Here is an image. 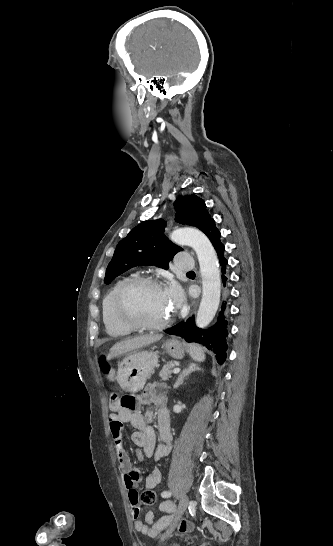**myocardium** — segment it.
Here are the masks:
<instances>
[{"instance_id":"1","label":"myocardium","mask_w":333,"mask_h":546,"mask_svg":"<svg viewBox=\"0 0 333 546\" xmlns=\"http://www.w3.org/2000/svg\"><path fill=\"white\" fill-rule=\"evenodd\" d=\"M143 286L162 287V284L156 278L150 276H136L126 282L120 288L115 300V309L118 318L133 330H161L168 327L173 322V312L162 322L150 323L142 320L131 309L129 305L131 294Z\"/></svg>"}]
</instances>
